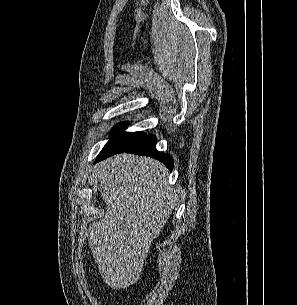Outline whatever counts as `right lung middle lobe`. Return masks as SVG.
I'll return each instance as SVG.
<instances>
[{
	"label": "right lung middle lobe",
	"instance_id": "right-lung-middle-lobe-1",
	"mask_svg": "<svg viewBox=\"0 0 297 305\" xmlns=\"http://www.w3.org/2000/svg\"><path fill=\"white\" fill-rule=\"evenodd\" d=\"M127 125L128 122L115 125L111 130L112 135L103 149L131 146L146 135L143 132H124Z\"/></svg>",
	"mask_w": 297,
	"mask_h": 305
}]
</instances>
